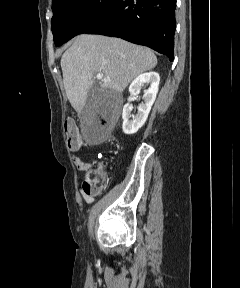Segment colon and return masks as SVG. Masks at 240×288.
<instances>
[{
    "mask_svg": "<svg viewBox=\"0 0 240 288\" xmlns=\"http://www.w3.org/2000/svg\"><path fill=\"white\" fill-rule=\"evenodd\" d=\"M64 129L69 149H79L82 145V138L75 122L73 120H67L64 124ZM104 180L105 173L100 167L88 172L84 178L83 192L88 196L96 195L101 190Z\"/></svg>",
    "mask_w": 240,
    "mask_h": 288,
    "instance_id": "obj_1",
    "label": "colon"
}]
</instances>
